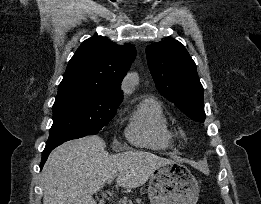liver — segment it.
Returning <instances> with one entry per match:
<instances>
[{
    "mask_svg": "<svg viewBox=\"0 0 261 204\" xmlns=\"http://www.w3.org/2000/svg\"><path fill=\"white\" fill-rule=\"evenodd\" d=\"M168 162L139 150L109 154L97 135L67 141L49 155L44 165L43 204H96L92 196L109 177L117 176V185L130 192Z\"/></svg>",
    "mask_w": 261,
    "mask_h": 204,
    "instance_id": "liver-1",
    "label": "liver"
}]
</instances>
